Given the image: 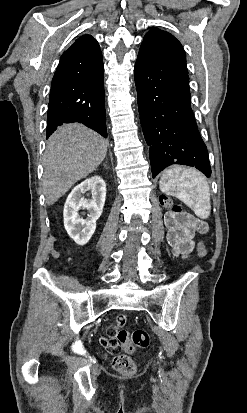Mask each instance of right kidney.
Listing matches in <instances>:
<instances>
[{"label":"right kidney","mask_w":247,"mask_h":413,"mask_svg":"<svg viewBox=\"0 0 247 413\" xmlns=\"http://www.w3.org/2000/svg\"><path fill=\"white\" fill-rule=\"evenodd\" d=\"M87 190H93L92 198H83L82 194ZM105 198L106 182L98 174L86 178L68 194L63 211L64 227L77 245H86L91 239L96 229V221L103 211ZM80 209H88L87 219H81L78 213Z\"/></svg>","instance_id":"right-kidney-1"}]
</instances>
